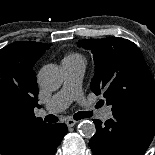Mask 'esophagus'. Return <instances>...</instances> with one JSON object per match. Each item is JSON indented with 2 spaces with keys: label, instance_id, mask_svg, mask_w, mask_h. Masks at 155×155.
Returning a JSON list of instances; mask_svg holds the SVG:
<instances>
[{
  "label": "esophagus",
  "instance_id": "esophagus-1",
  "mask_svg": "<svg viewBox=\"0 0 155 155\" xmlns=\"http://www.w3.org/2000/svg\"><path fill=\"white\" fill-rule=\"evenodd\" d=\"M76 123H77V121L74 120V119H71V118H69V119L66 120V125L68 127H73Z\"/></svg>",
  "mask_w": 155,
  "mask_h": 155
}]
</instances>
